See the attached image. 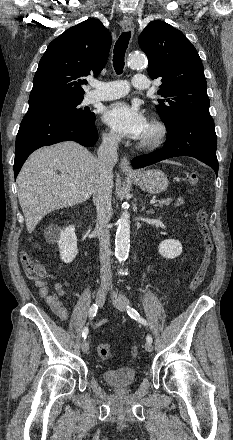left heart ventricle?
I'll return each instance as SVG.
<instances>
[{"mask_svg":"<svg viewBox=\"0 0 233 440\" xmlns=\"http://www.w3.org/2000/svg\"><path fill=\"white\" fill-rule=\"evenodd\" d=\"M151 134H152V129L148 125V127H147V129H146V131H145V133H144L142 138L149 137Z\"/></svg>","mask_w":233,"mask_h":440,"instance_id":"b2bd125f","label":"left heart ventricle"}]
</instances>
